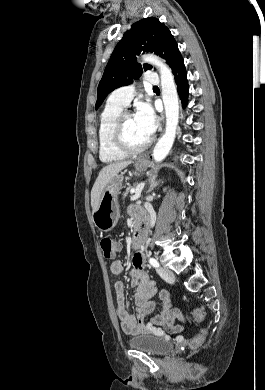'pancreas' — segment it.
<instances>
[{
  "label": "pancreas",
  "instance_id": "pancreas-1",
  "mask_svg": "<svg viewBox=\"0 0 265 390\" xmlns=\"http://www.w3.org/2000/svg\"><path fill=\"white\" fill-rule=\"evenodd\" d=\"M131 187L127 188V190L124 192L123 197H126L131 191Z\"/></svg>",
  "mask_w": 265,
  "mask_h": 390
}]
</instances>
